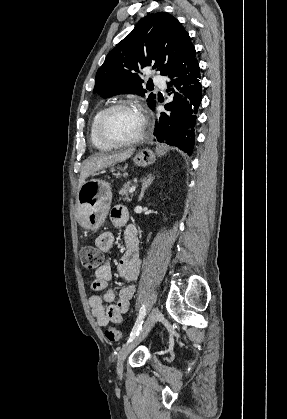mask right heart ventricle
<instances>
[{
  "label": "right heart ventricle",
  "instance_id": "obj_1",
  "mask_svg": "<svg viewBox=\"0 0 287 419\" xmlns=\"http://www.w3.org/2000/svg\"><path fill=\"white\" fill-rule=\"evenodd\" d=\"M104 109L105 108L99 109L94 114V116H93V118L91 120L90 128H89V140H90L92 146L95 147L96 149L106 151V150H109V149H111L113 147L104 144L99 139V137L97 136V132H96V125H97L98 118H99V116L101 115V113L103 112Z\"/></svg>",
  "mask_w": 287,
  "mask_h": 419
}]
</instances>
